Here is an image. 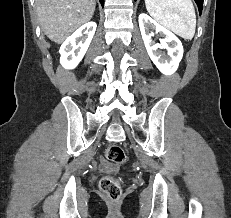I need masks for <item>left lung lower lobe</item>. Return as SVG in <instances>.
<instances>
[{"label": "left lung lower lobe", "instance_id": "0a47b994", "mask_svg": "<svg viewBox=\"0 0 231 218\" xmlns=\"http://www.w3.org/2000/svg\"><path fill=\"white\" fill-rule=\"evenodd\" d=\"M136 1V0H135ZM195 2L197 3L198 5V8H199V12L201 14L202 12V7H203V0H195Z\"/></svg>", "mask_w": 231, "mask_h": 218}]
</instances>
